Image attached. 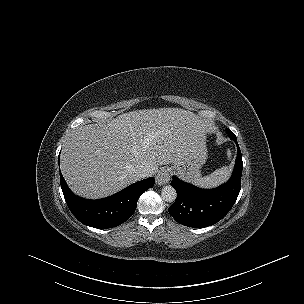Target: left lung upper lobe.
I'll use <instances>...</instances> for the list:
<instances>
[{
    "instance_id": "left-lung-upper-lobe-1",
    "label": "left lung upper lobe",
    "mask_w": 304,
    "mask_h": 304,
    "mask_svg": "<svg viewBox=\"0 0 304 304\" xmlns=\"http://www.w3.org/2000/svg\"><path fill=\"white\" fill-rule=\"evenodd\" d=\"M227 133H228V135L230 136L231 139L236 138L235 134L231 130L227 129Z\"/></svg>"
}]
</instances>
